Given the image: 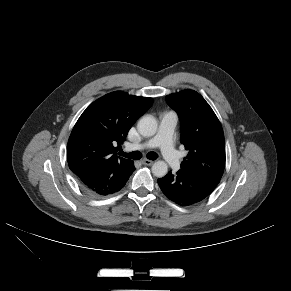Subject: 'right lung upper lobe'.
Listing matches in <instances>:
<instances>
[{"label": "right lung upper lobe", "mask_w": 291, "mask_h": 291, "mask_svg": "<svg viewBox=\"0 0 291 291\" xmlns=\"http://www.w3.org/2000/svg\"><path fill=\"white\" fill-rule=\"evenodd\" d=\"M152 103V98L115 91L90 104L68 140L67 159L71 171L79 176L98 165L131 164L133 161L116 155V145L123 143L129 129Z\"/></svg>", "instance_id": "1"}]
</instances>
